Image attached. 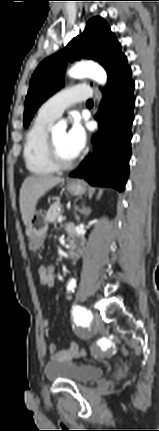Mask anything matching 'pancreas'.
<instances>
[{
    "instance_id": "cf45deb5",
    "label": "pancreas",
    "mask_w": 159,
    "mask_h": 431,
    "mask_svg": "<svg viewBox=\"0 0 159 431\" xmlns=\"http://www.w3.org/2000/svg\"><path fill=\"white\" fill-rule=\"evenodd\" d=\"M60 207L59 202H55L50 206L48 209V212L46 214V220L49 223H55L56 219L60 216V212L58 211V208Z\"/></svg>"
}]
</instances>
